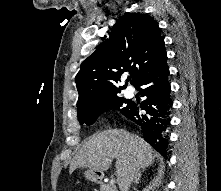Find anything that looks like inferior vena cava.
I'll return each instance as SVG.
<instances>
[{"label": "inferior vena cava", "mask_w": 221, "mask_h": 191, "mask_svg": "<svg viewBox=\"0 0 221 191\" xmlns=\"http://www.w3.org/2000/svg\"><path fill=\"white\" fill-rule=\"evenodd\" d=\"M137 174L138 173L135 170L131 171L130 174L125 178V180L119 186L120 191H128L133 179Z\"/></svg>", "instance_id": "inferior-vena-cava-1"}]
</instances>
